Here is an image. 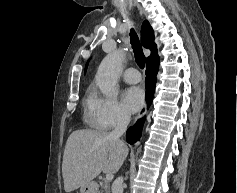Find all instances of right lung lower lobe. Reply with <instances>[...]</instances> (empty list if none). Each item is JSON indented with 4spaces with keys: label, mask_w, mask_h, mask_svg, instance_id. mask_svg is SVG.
<instances>
[{
    "label": "right lung lower lobe",
    "mask_w": 237,
    "mask_h": 193,
    "mask_svg": "<svg viewBox=\"0 0 237 193\" xmlns=\"http://www.w3.org/2000/svg\"><path fill=\"white\" fill-rule=\"evenodd\" d=\"M158 68H159V57L147 62L145 85L147 89L146 101H147L148 106L151 104L152 99H153ZM143 123H144V118L139 120L133 127H130L127 130L126 139L128 143L133 144L140 139Z\"/></svg>",
    "instance_id": "right-lung-lower-lobe-1"
}]
</instances>
